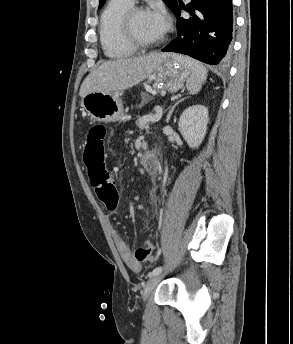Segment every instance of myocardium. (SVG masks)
Instances as JSON below:
<instances>
[{"label":"myocardium","instance_id":"myocardium-1","mask_svg":"<svg viewBox=\"0 0 293 344\" xmlns=\"http://www.w3.org/2000/svg\"><path fill=\"white\" fill-rule=\"evenodd\" d=\"M147 12V9L143 6H135L132 5L129 9L125 11V13L122 15L120 19V33L123 37V39L133 46L136 49H149L156 47L160 44H162L165 40V37L162 36L157 41H144L139 39L133 32L132 23L135 18V16L139 13Z\"/></svg>","mask_w":293,"mask_h":344}]
</instances>
